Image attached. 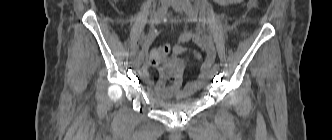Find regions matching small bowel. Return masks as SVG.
Here are the masks:
<instances>
[{"instance_id": "1", "label": "small bowel", "mask_w": 332, "mask_h": 140, "mask_svg": "<svg viewBox=\"0 0 332 140\" xmlns=\"http://www.w3.org/2000/svg\"><path fill=\"white\" fill-rule=\"evenodd\" d=\"M216 4L223 7H230L240 4L243 0H213ZM194 41L203 51L204 58L201 64V73L199 77L182 86L183 76L180 69L167 68L163 65V60L157 57L158 49H153L150 52L149 58L143 63L140 68V76L149 85L152 86L154 91L161 97H182L186 94L192 93L198 90L204 85L210 77V68L216 59V51L214 45L209 37H199L190 32L180 34L175 43L173 44L171 51L173 55H180L186 51L184 44ZM148 46V42H147ZM195 56L198 59H202L201 55L195 52ZM150 66H157L160 71V76L157 82H154L149 74L148 68Z\"/></svg>"}]
</instances>
